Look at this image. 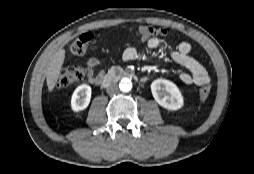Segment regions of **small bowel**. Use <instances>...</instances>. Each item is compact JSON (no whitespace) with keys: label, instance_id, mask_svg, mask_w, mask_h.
I'll return each mask as SVG.
<instances>
[{"label":"small bowel","instance_id":"obj_1","mask_svg":"<svg viewBox=\"0 0 254 174\" xmlns=\"http://www.w3.org/2000/svg\"><path fill=\"white\" fill-rule=\"evenodd\" d=\"M150 49H158L163 46V42L158 38H151L147 41ZM191 45L187 42H181L177 49L172 51L170 56L172 60L187 69V72L180 74V80L185 84L205 85L209 82V76L206 69L191 55ZM123 60L133 61L139 58L147 59V54H142L136 47H128L122 55ZM87 79L92 84H98L104 71H98L101 61L98 58H91L86 62Z\"/></svg>","mask_w":254,"mask_h":174}]
</instances>
